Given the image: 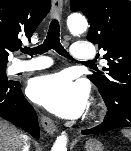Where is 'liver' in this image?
<instances>
[{
	"label": "liver",
	"instance_id": "6515ba94",
	"mask_svg": "<svg viewBox=\"0 0 131 151\" xmlns=\"http://www.w3.org/2000/svg\"><path fill=\"white\" fill-rule=\"evenodd\" d=\"M21 135L17 128L0 119V151H19Z\"/></svg>",
	"mask_w": 131,
	"mask_h": 151
}]
</instances>
